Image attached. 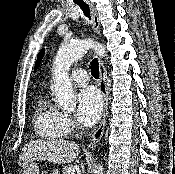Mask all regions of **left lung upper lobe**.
Returning <instances> with one entry per match:
<instances>
[{
  "instance_id": "5c2ea615",
  "label": "left lung upper lobe",
  "mask_w": 175,
  "mask_h": 174,
  "mask_svg": "<svg viewBox=\"0 0 175 174\" xmlns=\"http://www.w3.org/2000/svg\"><path fill=\"white\" fill-rule=\"evenodd\" d=\"M44 55V49H42V51L39 53L38 57H37V61H36V64H35V68H34V72L36 71L38 65H39V62L41 60V58L43 57Z\"/></svg>"
}]
</instances>
